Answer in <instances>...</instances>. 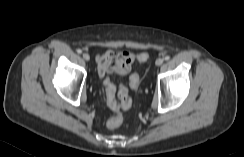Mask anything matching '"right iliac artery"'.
I'll list each match as a JSON object with an SVG mask.
<instances>
[{"label":"right iliac artery","instance_id":"right-iliac-artery-1","mask_svg":"<svg viewBox=\"0 0 244 157\" xmlns=\"http://www.w3.org/2000/svg\"><path fill=\"white\" fill-rule=\"evenodd\" d=\"M77 53L81 54L82 53V50L81 49H78L77 50Z\"/></svg>","mask_w":244,"mask_h":157}]
</instances>
